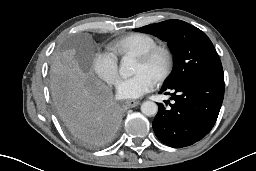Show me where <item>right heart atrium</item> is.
<instances>
[{"instance_id": "d8ad5b80", "label": "right heart atrium", "mask_w": 256, "mask_h": 171, "mask_svg": "<svg viewBox=\"0 0 256 171\" xmlns=\"http://www.w3.org/2000/svg\"><path fill=\"white\" fill-rule=\"evenodd\" d=\"M93 71L108 84L114 85L119 78L117 56L110 51H99L92 59Z\"/></svg>"}]
</instances>
